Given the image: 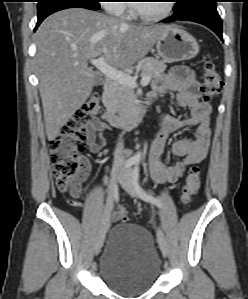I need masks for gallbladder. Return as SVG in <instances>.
Here are the masks:
<instances>
[{"label":"gallbladder","mask_w":248,"mask_h":299,"mask_svg":"<svg viewBox=\"0 0 248 299\" xmlns=\"http://www.w3.org/2000/svg\"><path fill=\"white\" fill-rule=\"evenodd\" d=\"M104 83V80L102 77L100 76H95V79H94V84L95 85H102Z\"/></svg>","instance_id":"obj_1"}]
</instances>
